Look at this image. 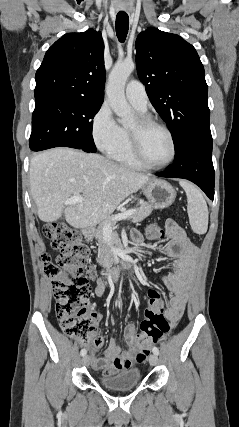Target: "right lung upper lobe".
Returning <instances> with one entry per match:
<instances>
[{
  "label": "right lung upper lobe",
  "mask_w": 239,
  "mask_h": 427,
  "mask_svg": "<svg viewBox=\"0 0 239 427\" xmlns=\"http://www.w3.org/2000/svg\"><path fill=\"white\" fill-rule=\"evenodd\" d=\"M35 80V100L103 103L105 68L101 33L89 29L62 36L47 50Z\"/></svg>",
  "instance_id": "1"
}]
</instances>
